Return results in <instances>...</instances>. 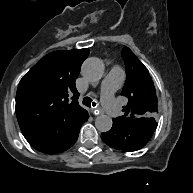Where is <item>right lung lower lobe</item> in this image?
<instances>
[{
  "label": "right lung lower lobe",
  "instance_id": "98d812e1",
  "mask_svg": "<svg viewBox=\"0 0 193 193\" xmlns=\"http://www.w3.org/2000/svg\"><path fill=\"white\" fill-rule=\"evenodd\" d=\"M78 134H79V130L77 131V133L67 142L65 143L63 146L57 148V149H53V150H50V151H46L44 153H47V154H55V153H60L62 151H65L67 150L68 148H70L77 140V137H78Z\"/></svg>",
  "mask_w": 193,
  "mask_h": 193
}]
</instances>
